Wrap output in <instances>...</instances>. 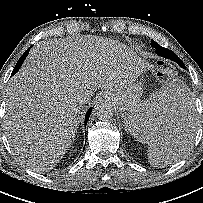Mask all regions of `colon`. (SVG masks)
<instances>
[{"instance_id": "1", "label": "colon", "mask_w": 203, "mask_h": 203, "mask_svg": "<svg viewBox=\"0 0 203 203\" xmlns=\"http://www.w3.org/2000/svg\"><path fill=\"white\" fill-rule=\"evenodd\" d=\"M174 73V69L166 62H160L157 67V77L161 82H165Z\"/></svg>"}]
</instances>
